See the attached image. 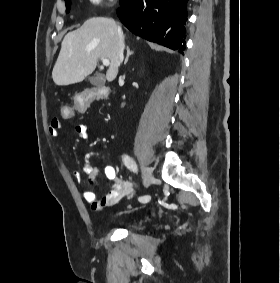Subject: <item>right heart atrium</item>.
I'll use <instances>...</instances> for the list:
<instances>
[{
  "mask_svg": "<svg viewBox=\"0 0 280 283\" xmlns=\"http://www.w3.org/2000/svg\"><path fill=\"white\" fill-rule=\"evenodd\" d=\"M105 0H89L90 3L92 4H95V5H98V4H101L103 3ZM111 1V0H109Z\"/></svg>",
  "mask_w": 280,
  "mask_h": 283,
  "instance_id": "d8ad5b80",
  "label": "right heart atrium"
}]
</instances>
